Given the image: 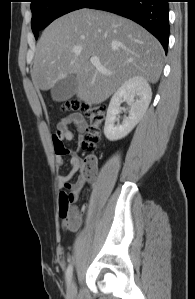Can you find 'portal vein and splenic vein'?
<instances>
[{"instance_id":"obj_1","label":"portal vein and splenic vein","mask_w":195,"mask_h":299,"mask_svg":"<svg viewBox=\"0 0 195 299\" xmlns=\"http://www.w3.org/2000/svg\"><path fill=\"white\" fill-rule=\"evenodd\" d=\"M90 63L96 68L100 69L103 73H107V70L103 68L98 57H91Z\"/></svg>"}]
</instances>
